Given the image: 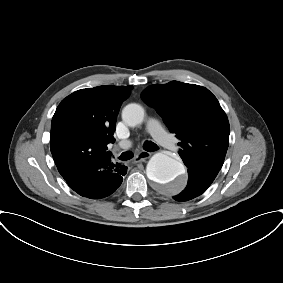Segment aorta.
Instances as JSON below:
<instances>
[{"label":"aorta","mask_w":283,"mask_h":283,"mask_svg":"<svg viewBox=\"0 0 283 283\" xmlns=\"http://www.w3.org/2000/svg\"><path fill=\"white\" fill-rule=\"evenodd\" d=\"M143 118L144 109L139 104H128L122 110V119L128 126H137ZM146 174L151 181L172 194L181 192L186 184L183 164L165 153L159 152L150 158Z\"/></svg>","instance_id":"obj_1"}]
</instances>
